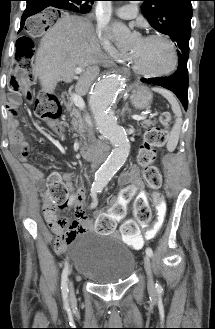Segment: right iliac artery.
Returning <instances> with one entry per match:
<instances>
[{
    "label": "right iliac artery",
    "mask_w": 215,
    "mask_h": 329,
    "mask_svg": "<svg viewBox=\"0 0 215 329\" xmlns=\"http://www.w3.org/2000/svg\"><path fill=\"white\" fill-rule=\"evenodd\" d=\"M99 191L97 189H91V196L93 199V202L91 203V208H94L97 206V193ZM67 276H68V265H65L63 272H62V278H61V289H62V297L65 303V306H68V285H67Z\"/></svg>",
    "instance_id": "1"
}]
</instances>
